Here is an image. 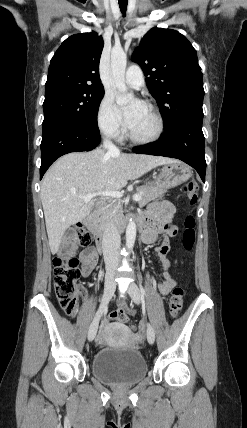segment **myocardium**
<instances>
[{"instance_id": "f54148a6", "label": "myocardium", "mask_w": 247, "mask_h": 428, "mask_svg": "<svg viewBox=\"0 0 247 428\" xmlns=\"http://www.w3.org/2000/svg\"><path fill=\"white\" fill-rule=\"evenodd\" d=\"M145 106L154 115V117L156 119V123H157V128H156L155 133L152 136L146 137V138L136 137L131 132V130L128 128L127 134H128L129 139L133 143L139 144V145L151 144V143L158 141L163 136L164 131H165V121H164V118H163L161 112L159 111V109L157 107H155L154 105H152L151 103H145Z\"/></svg>"}]
</instances>
